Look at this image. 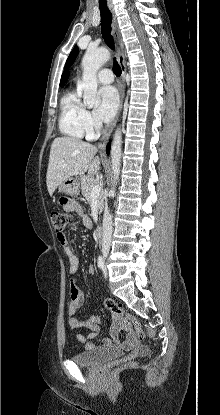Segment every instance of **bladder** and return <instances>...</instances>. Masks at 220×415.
I'll list each match as a JSON object with an SVG mask.
<instances>
[{"instance_id": "bladder-1", "label": "bladder", "mask_w": 220, "mask_h": 415, "mask_svg": "<svg viewBox=\"0 0 220 415\" xmlns=\"http://www.w3.org/2000/svg\"><path fill=\"white\" fill-rule=\"evenodd\" d=\"M121 356L120 350H107L100 348H91L79 351L72 360L79 365H95Z\"/></svg>"}]
</instances>
